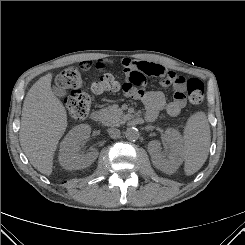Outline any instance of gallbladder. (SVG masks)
<instances>
[{
  "label": "gallbladder",
  "instance_id": "gallbladder-1",
  "mask_svg": "<svg viewBox=\"0 0 245 245\" xmlns=\"http://www.w3.org/2000/svg\"><path fill=\"white\" fill-rule=\"evenodd\" d=\"M53 91L59 97H64L66 95V91L61 87H54Z\"/></svg>",
  "mask_w": 245,
  "mask_h": 245
}]
</instances>
